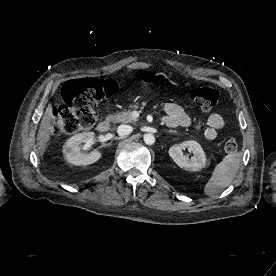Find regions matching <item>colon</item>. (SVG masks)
Returning a JSON list of instances; mask_svg holds the SVG:
<instances>
[{
    "label": "colon",
    "mask_w": 276,
    "mask_h": 276,
    "mask_svg": "<svg viewBox=\"0 0 276 276\" xmlns=\"http://www.w3.org/2000/svg\"><path fill=\"white\" fill-rule=\"evenodd\" d=\"M144 76L150 78L148 73ZM116 91L117 84L111 80L81 78L68 81L62 90L64 105L55 107L52 111V133L60 136L90 129L96 121L98 102ZM189 98L202 111L209 112L218 104L219 94L214 88L196 87L189 92ZM237 147L234 137L227 138L223 145L227 153L235 152Z\"/></svg>",
    "instance_id": "obj_1"
}]
</instances>
